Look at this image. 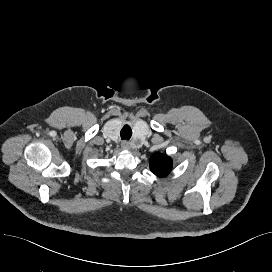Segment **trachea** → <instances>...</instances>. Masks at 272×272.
Returning a JSON list of instances; mask_svg holds the SVG:
<instances>
[{
  "label": "trachea",
  "instance_id": "1",
  "mask_svg": "<svg viewBox=\"0 0 272 272\" xmlns=\"http://www.w3.org/2000/svg\"><path fill=\"white\" fill-rule=\"evenodd\" d=\"M120 136L122 140H129L132 136V129L129 125H124L120 131Z\"/></svg>",
  "mask_w": 272,
  "mask_h": 272
}]
</instances>
